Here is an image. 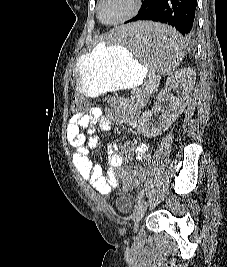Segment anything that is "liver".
<instances>
[{
    "label": "liver",
    "mask_w": 227,
    "mask_h": 267,
    "mask_svg": "<svg viewBox=\"0 0 227 267\" xmlns=\"http://www.w3.org/2000/svg\"><path fill=\"white\" fill-rule=\"evenodd\" d=\"M111 33H117V30H115V29H114V30H112V31L109 33V35H108V36H110V34H111ZM98 46H99V44H98Z\"/></svg>",
    "instance_id": "obj_1"
}]
</instances>
